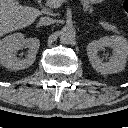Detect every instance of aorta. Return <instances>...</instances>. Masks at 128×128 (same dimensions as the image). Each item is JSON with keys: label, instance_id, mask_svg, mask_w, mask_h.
Returning a JSON list of instances; mask_svg holds the SVG:
<instances>
[{"label": "aorta", "instance_id": "obj_1", "mask_svg": "<svg viewBox=\"0 0 128 128\" xmlns=\"http://www.w3.org/2000/svg\"><path fill=\"white\" fill-rule=\"evenodd\" d=\"M75 34L76 31L73 27L71 26H64L61 30H60V41L62 43H70L72 40H74L75 38Z\"/></svg>", "mask_w": 128, "mask_h": 128}]
</instances>
